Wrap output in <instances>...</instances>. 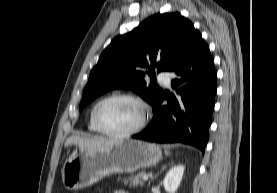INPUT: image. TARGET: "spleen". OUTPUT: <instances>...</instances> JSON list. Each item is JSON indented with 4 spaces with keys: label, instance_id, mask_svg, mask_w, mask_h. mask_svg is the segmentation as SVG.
I'll return each instance as SVG.
<instances>
[{
    "label": "spleen",
    "instance_id": "1",
    "mask_svg": "<svg viewBox=\"0 0 277 193\" xmlns=\"http://www.w3.org/2000/svg\"><path fill=\"white\" fill-rule=\"evenodd\" d=\"M165 154H167V155H168V154H170V153H169L168 151H165Z\"/></svg>",
    "mask_w": 277,
    "mask_h": 193
}]
</instances>
